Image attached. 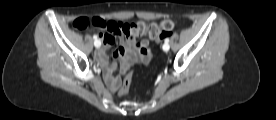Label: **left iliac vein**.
Wrapping results in <instances>:
<instances>
[{
    "instance_id": "4c4485c4",
    "label": "left iliac vein",
    "mask_w": 276,
    "mask_h": 120,
    "mask_svg": "<svg viewBox=\"0 0 276 120\" xmlns=\"http://www.w3.org/2000/svg\"><path fill=\"white\" fill-rule=\"evenodd\" d=\"M169 49H170L169 44H164V45H163V50H164V51L167 52Z\"/></svg>"
}]
</instances>
